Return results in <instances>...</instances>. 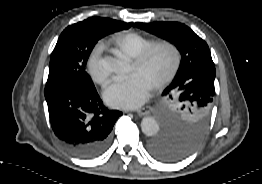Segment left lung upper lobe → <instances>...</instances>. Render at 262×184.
<instances>
[{
  "label": "left lung upper lobe",
  "instance_id": "1",
  "mask_svg": "<svg viewBox=\"0 0 262 184\" xmlns=\"http://www.w3.org/2000/svg\"><path fill=\"white\" fill-rule=\"evenodd\" d=\"M174 43L182 55L177 75L162 93L159 114L164 134L192 149L203 140L211 121L215 66L207 43L178 22L135 23Z\"/></svg>",
  "mask_w": 262,
  "mask_h": 184
}]
</instances>
